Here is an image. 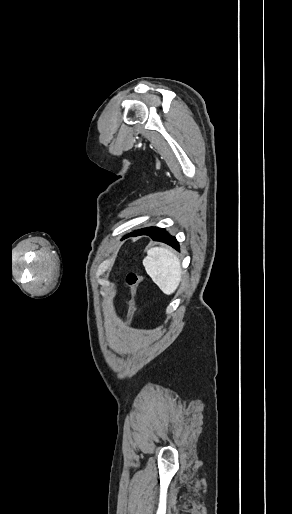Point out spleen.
<instances>
[{"label":"spleen","instance_id":"spleen-1","mask_svg":"<svg viewBox=\"0 0 292 514\" xmlns=\"http://www.w3.org/2000/svg\"><path fill=\"white\" fill-rule=\"evenodd\" d=\"M143 266L154 284L170 296L176 292L181 282L180 260L172 250L167 248H150L148 256L143 260Z\"/></svg>","mask_w":292,"mask_h":514}]
</instances>
